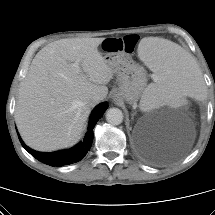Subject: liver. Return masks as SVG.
Returning <instances> with one entry per match:
<instances>
[{"label":"liver","instance_id":"6515ba94","mask_svg":"<svg viewBox=\"0 0 215 215\" xmlns=\"http://www.w3.org/2000/svg\"><path fill=\"white\" fill-rule=\"evenodd\" d=\"M103 40L60 39L36 54L20 83L15 109L19 133L29 147L50 152L78 141L92 96L104 99L114 75L98 51Z\"/></svg>","mask_w":215,"mask_h":215}]
</instances>
